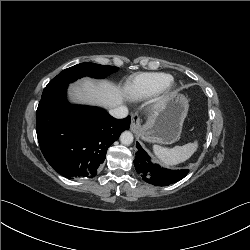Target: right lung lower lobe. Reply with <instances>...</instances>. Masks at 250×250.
Here are the masks:
<instances>
[{
    "label": "right lung lower lobe",
    "instance_id": "1",
    "mask_svg": "<svg viewBox=\"0 0 250 250\" xmlns=\"http://www.w3.org/2000/svg\"><path fill=\"white\" fill-rule=\"evenodd\" d=\"M67 86L41 98L36 131L47 162L69 179L94 177L104 162L107 148L129 129L130 117L115 119L104 109L71 105Z\"/></svg>",
    "mask_w": 250,
    "mask_h": 250
}]
</instances>
